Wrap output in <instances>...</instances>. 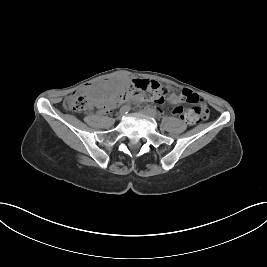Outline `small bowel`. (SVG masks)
Here are the masks:
<instances>
[{"label":"small bowel","instance_id":"1","mask_svg":"<svg viewBox=\"0 0 267 267\" xmlns=\"http://www.w3.org/2000/svg\"><path fill=\"white\" fill-rule=\"evenodd\" d=\"M167 91L169 92V97L168 100L171 104L175 105V107L179 106L183 109V107L180 105L182 100V95L177 94L173 92L169 87L166 88ZM116 95L115 91L112 89L106 90L102 96L98 97L95 99L94 104L98 108V111L102 114L107 113L105 105L109 102L110 99H112ZM174 107V109H175ZM173 109V110H174ZM184 111V109H183ZM187 112V111H184ZM182 119H184L187 123L190 125L195 124L198 120L195 119L194 117H187L184 116Z\"/></svg>","mask_w":267,"mask_h":267}]
</instances>
